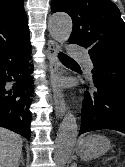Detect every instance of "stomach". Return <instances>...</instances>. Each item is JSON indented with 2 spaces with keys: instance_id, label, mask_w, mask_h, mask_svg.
Returning <instances> with one entry per match:
<instances>
[{
  "instance_id": "stomach-1",
  "label": "stomach",
  "mask_w": 125,
  "mask_h": 167,
  "mask_svg": "<svg viewBox=\"0 0 125 167\" xmlns=\"http://www.w3.org/2000/svg\"><path fill=\"white\" fill-rule=\"evenodd\" d=\"M110 148V141L105 136L90 135L80 138L77 152L83 160H91L104 155Z\"/></svg>"
}]
</instances>
